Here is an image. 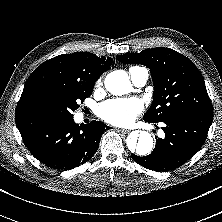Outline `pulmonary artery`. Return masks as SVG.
I'll use <instances>...</instances> for the list:
<instances>
[{
	"mask_svg": "<svg viewBox=\"0 0 222 222\" xmlns=\"http://www.w3.org/2000/svg\"><path fill=\"white\" fill-rule=\"evenodd\" d=\"M130 75L134 84L137 86H143L148 80V71L145 68L131 70Z\"/></svg>",
	"mask_w": 222,
	"mask_h": 222,
	"instance_id": "pulmonary-artery-1",
	"label": "pulmonary artery"
}]
</instances>
